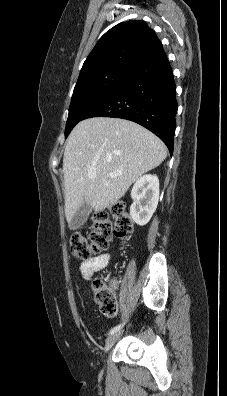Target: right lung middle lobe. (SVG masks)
Wrapping results in <instances>:
<instances>
[{"instance_id":"right-lung-middle-lobe-1","label":"right lung middle lobe","mask_w":227,"mask_h":396,"mask_svg":"<svg viewBox=\"0 0 227 396\" xmlns=\"http://www.w3.org/2000/svg\"><path fill=\"white\" fill-rule=\"evenodd\" d=\"M132 70L110 68L92 73L78 81L72 95L67 119L65 138L84 115L99 101L112 92Z\"/></svg>"}]
</instances>
